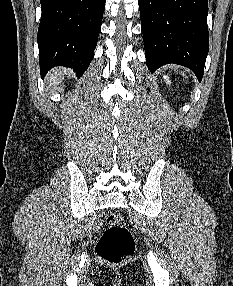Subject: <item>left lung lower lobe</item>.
<instances>
[{
  "mask_svg": "<svg viewBox=\"0 0 233 286\" xmlns=\"http://www.w3.org/2000/svg\"><path fill=\"white\" fill-rule=\"evenodd\" d=\"M146 63L151 72L174 63L201 81L209 49L207 0H139Z\"/></svg>",
  "mask_w": 233,
  "mask_h": 286,
  "instance_id": "1",
  "label": "left lung lower lobe"
}]
</instances>
